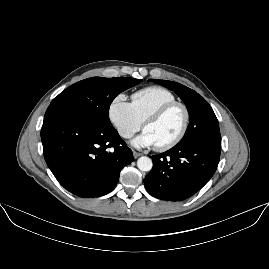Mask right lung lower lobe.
Returning a JSON list of instances; mask_svg holds the SVG:
<instances>
[{"instance_id":"right-lung-lower-lobe-1","label":"right lung lower lobe","mask_w":269,"mask_h":269,"mask_svg":"<svg viewBox=\"0 0 269 269\" xmlns=\"http://www.w3.org/2000/svg\"><path fill=\"white\" fill-rule=\"evenodd\" d=\"M46 163L59 183L79 197L111 192L133 154L113 126L49 106L41 129Z\"/></svg>"}]
</instances>
